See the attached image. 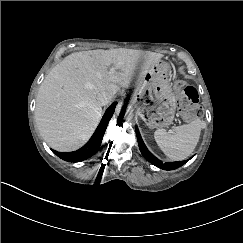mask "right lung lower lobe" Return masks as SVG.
<instances>
[{
    "mask_svg": "<svg viewBox=\"0 0 243 243\" xmlns=\"http://www.w3.org/2000/svg\"><path fill=\"white\" fill-rule=\"evenodd\" d=\"M116 102L113 103L105 112L101 123L97 127L95 133L91 137V139L84 145L81 149L74 152H57L52 150L58 157L68 162H80L90 158L94 155L99 149L103 135L105 133L106 127L108 125L109 120L111 119L114 110H115Z\"/></svg>",
    "mask_w": 243,
    "mask_h": 243,
    "instance_id": "right-lung-lower-lobe-1",
    "label": "right lung lower lobe"
}]
</instances>
